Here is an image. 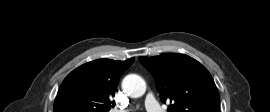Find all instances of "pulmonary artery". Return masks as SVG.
Returning a JSON list of instances; mask_svg holds the SVG:
<instances>
[{
	"label": "pulmonary artery",
	"mask_w": 270,
	"mask_h": 112,
	"mask_svg": "<svg viewBox=\"0 0 270 112\" xmlns=\"http://www.w3.org/2000/svg\"><path fill=\"white\" fill-rule=\"evenodd\" d=\"M145 106L148 112H163L153 94H147L145 98Z\"/></svg>",
	"instance_id": "e3ab8cb5"
}]
</instances>
